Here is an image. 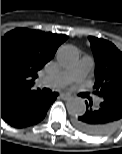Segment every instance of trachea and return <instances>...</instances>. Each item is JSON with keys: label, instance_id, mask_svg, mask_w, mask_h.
<instances>
[{"label": "trachea", "instance_id": "3493384b", "mask_svg": "<svg viewBox=\"0 0 122 154\" xmlns=\"http://www.w3.org/2000/svg\"><path fill=\"white\" fill-rule=\"evenodd\" d=\"M43 92H45V93L49 94V93H50V90H49V89L44 88V89H43Z\"/></svg>", "mask_w": 122, "mask_h": 154}]
</instances>
